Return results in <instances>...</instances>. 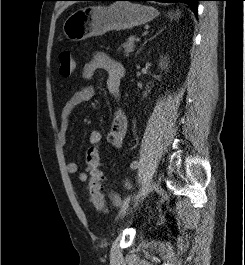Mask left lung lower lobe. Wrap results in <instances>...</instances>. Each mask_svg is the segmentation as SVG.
Wrapping results in <instances>:
<instances>
[{"mask_svg": "<svg viewBox=\"0 0 245 265\" xmlns=\"http://www.w3.org/2000/svg\"><path fill=\"white\" fill-rule=\"evenodd\" d=\"M91 1H118V0H91ZM123 1H159L164 3L182 2L188 4L194 13L197 15V2L201 0H123Z\"/></svg>", "mask_w": 245, "mask_h": 265, "instance_id": "obj_1", "label": "left lung lower lobe"}]
</instances>
